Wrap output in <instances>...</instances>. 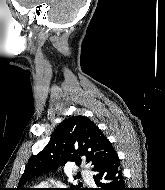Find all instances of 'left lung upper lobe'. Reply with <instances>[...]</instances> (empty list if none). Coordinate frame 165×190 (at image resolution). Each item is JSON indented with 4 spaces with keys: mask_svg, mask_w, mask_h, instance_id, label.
I'll use <instances>...</instances> for the list:
<instances>
[{
    "mask_svg": "<svg viewBox=\"0 0 165 190\" xmlns=\"http://www.w3.org/2000/svg\"><path fill=\"white\" fill-rule=\"evenodd\" d=\"M115 153L101 130L85 116H73L61 122L47 146L27 163L17 190L32 177L55 170L71 161L86 162L92 171ZM68 190H82L71 186Z\"/></svg>",
    "mask_w": 165,
    "mask_h": 190,
    "instance_id": "obj_1",
    "label": "left lung upper lobe"
}]
</instances>
